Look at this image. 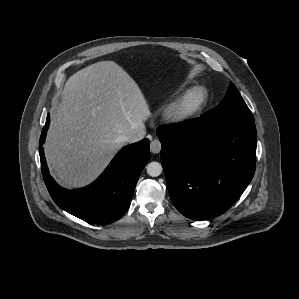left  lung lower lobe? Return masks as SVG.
Here are the masks:
<instances>
[{"label":"left lung lower lobe","mask_w":299,"mask_h":299,"mask_svg":"<svg viewBox=\"0 0 299 299\" xmlns=\"http://www.w3.org/2000/svg\"><path fill=\"white\" fill-rule=\"evenodd\" d=\"M156 133L171 200L190 219L223 214L253 178L254 123L221 125L199 117L160 126Z\"/></svg>","instance_id":"obj_1"}]
</instances>
